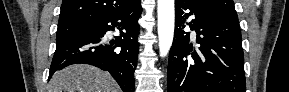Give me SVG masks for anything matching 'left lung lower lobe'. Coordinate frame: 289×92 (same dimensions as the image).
I'll return each mask as SVG.
<instances>
[{"label":"left lung lower lobe","mask_w":289,"mask_h":92,"mask_svg":"<svg viewBox=\"0 0 289 92\" xmlns=\"http://www.w3.org/2000/svg\"><path fill=\"white\" fill-rule=\"evenodd\" d=\"M188 23L197 33L189 42ZM239 21L197 0H175V33L167 92H246Z\"/></svg>","instance_id":"left-lung-lower-lobe-1"}]
</instances>
